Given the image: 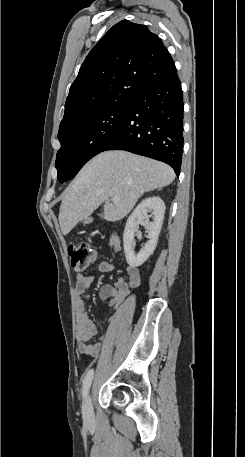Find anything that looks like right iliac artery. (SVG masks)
Instances as JSON below:
<instances>
[{
    "instance_id": "1",
    "label": "right iliac artery",
    "mask_w": 245,
    "mask_h": 457,
    "mask_svg": "<svg viewBox=\"0 0 245 457\" xmlns=\"http://www.w3.org/2000/svg\"><path fill=\"white\" fill-rule=\"evenodd\" d=\"M93 376H94V371H93V369H91L88 371V373L83 381V390H82L83 397H86L88 394V391L90 389V386H91V383L93 380Z\"/></svg>"
}]
</instances>
